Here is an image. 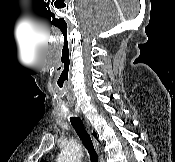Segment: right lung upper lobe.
I'll return each mask as SVG.
<instances>
[{
    "label": "right lung upper lobe",
    "instance_id": "cb5924a9",
    "mask_svg": "<svg viewBox=\"0 0 175 162\" xmlns=\"http://www.w3.org/2000/svg\"><path fill=\"white\" fill-rule=\"evenodd\" d=\"M93 135H94V137H96V138H97V135H96V133H95V132H93Z\"/></svg>",
    "mask_w": 175,
    "mask_h": 162
}]
</instances>
